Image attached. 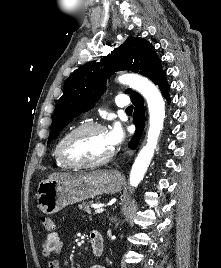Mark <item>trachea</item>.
Segmentation results:
<instances>
[{
	"mask_svg": "<svg viewBox=\"0 0 221 268\" xmlns=\"http://www.w3.org/2000/svg\"><path fill=\"white\" fill-rule=\"evenodd\" d=\"M133 110V106H129L126 108V111L131 112Z\"/></svg>",
	"mask_w": 221,
	"mask_h": 268,
	"instance_id": "1",
	"label": "trachea"
}]
</instances>
